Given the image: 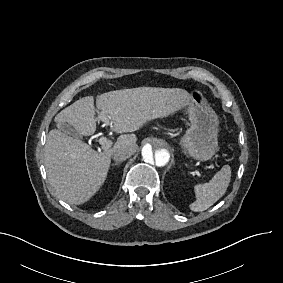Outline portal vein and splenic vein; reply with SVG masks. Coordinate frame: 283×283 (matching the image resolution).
<instances>
[{"label": "portal vein and splenic vein", "mask_w": 283, "mask_h": 283, "mask_svg": "<svg viewBox=\"0 0 283 283\" xmlns=\"http://www.w3.org/2000/svg\"><path fill=\"white\" fill-rule=\"evenodd\" d=\"M102 122L104 123L105 126L107 127H112L113 126V121L112 119L108 118L106 115L103 117H100ZM99 143L101 144V149L102 150H108L111 147V142L107 140L105 136L101 137L99 139Z\"/></svg>", "instance_id": "obj_1"}]
</instances>
